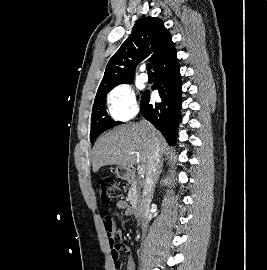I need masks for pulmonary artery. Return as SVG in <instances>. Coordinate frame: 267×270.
<instances>
[{
	"instance_id": "1",
	"label": "pulmonary artery",
	"mask_w": 267,
	"mask_h": 270,
	"mask_svg": "<svg viewBox=\"0 0 267 270\" xmlns=\"http://www.w3.org/2000/svg\"><path fill=\"white\" fill-rule=\"evenodd\" d=\"M142 73L140 74V79L143 82L148 81V75L144 72V67L141 68Z\"/></svg>"
}]
</instances>
